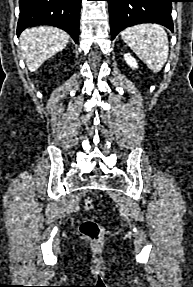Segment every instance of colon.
<instances>
[{
    "label": "colon",
    "instance_id": "1",
    "mask_svg": "<svg viewBox=\"0 0 193 287\" xmlns=\"http://www.w3.org/2000/svg\"><path fill=\"white\" fill-rule=\"evenodd\" d=\"M85 207L88 210L93 208L91 199L85 200ZM80 231L83 237L91 242H100L104 235L103 225L95 220L84 221L80 226Z\"/></svg>",
    "mask_w": 193,
    "mask_h": 287
}]
</instances>
